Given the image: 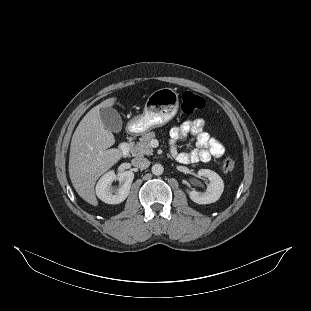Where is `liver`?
<instances>
[{
	"instance_id": "obj_1",
	"label": "liver",
	"mask_w": 311,
	"mask_h": 311,
	"mask_svg": "<svg viewBox=\"0 0 311 311\" xmlns=\"http://www.w3.org/2000/svg\"><path fill=\"white\" fill-rule=\"evenodd\" d=\"M117 98L112 97L93 107L80 121L71 140L69 175L71 182L86 202L98 205L94 186L97 179L115 165L122 157L115 144L112 132L105 128L100 109L113 106Z\"/></svg>"
}]
</instances>
